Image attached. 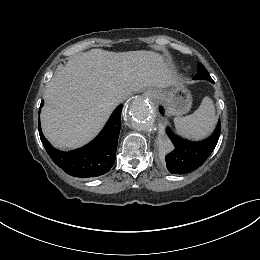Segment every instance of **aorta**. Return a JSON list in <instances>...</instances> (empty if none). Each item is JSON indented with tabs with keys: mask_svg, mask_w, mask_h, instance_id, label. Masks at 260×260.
Masks as SVG:
<instances>
[{
	"mask_svg": "<svg viewBox=\"0 0 260 260\" xmlns=\"http://www.w3.org/2000/svg\"><path fill=\"white\" fill-rule=\"evenodd\" d=\"M126 121L137 131H149L152 126L153 112L147 100L135 98L128 107Z\"/></svg>",
	"mask_w": 260,
	"mask_h": 260,
	"instance_id": "aorta-1",
	"label": "aorta"
}]
</instances>
